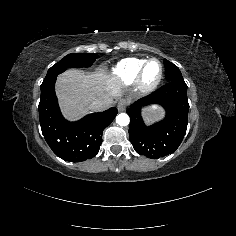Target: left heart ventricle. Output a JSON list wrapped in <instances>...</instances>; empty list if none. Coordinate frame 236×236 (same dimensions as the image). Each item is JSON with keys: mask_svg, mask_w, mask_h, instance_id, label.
<instances>
[{"mask_svg": "<svg viewBox=\"0 0 236 236\" xmlns=\"http://www.w3.org/2000/svg\"><path fill=\"white\" fill-rule=\"evenodd\" d=\"M161 65L157 61H152L148 64L144 77L143 82L146 85H151L155 83L161 75Z\"/></svg>", "mask_w": 236, "mask_h": 236, "instance_id": "b2bd125f", "label": "left heart ventricle"}]
</instances>
